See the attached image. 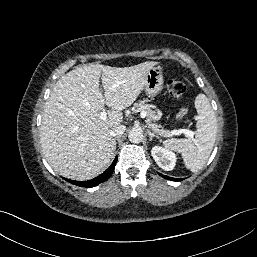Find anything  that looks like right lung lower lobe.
<instances>
[{
  "instance_id": "1",
  "label": "right lung lower lobe",
  "mask_w": 257,
  "mask_h": 257,
  "mask_svg": "<svg viewBox=\"0 0 257 257\" xmlns=\"http://www.w3.org/2000/svg\"><path fill=\"white\" fill-rule=\"evenodd\" d=\"M116 162H117V157L114 159L113 163L106 171H104L101 175H99L98 177H96L94 179H91L88 181H74V180H70V179H65V180L70 182L71 184L81 186V187L96 186V185L106 181L112 175L115 165H116Z\"/></svg>"
}]
</instances>
